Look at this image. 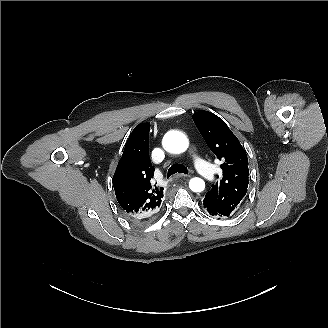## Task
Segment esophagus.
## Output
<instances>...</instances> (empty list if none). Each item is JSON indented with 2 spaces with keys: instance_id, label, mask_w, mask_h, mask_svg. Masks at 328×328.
<instances>
[{
  "instance_id": "obj_1",
  "label": "esophagus",
  "mask_w": 328,
  "mask_h": 328,
  "mask_svg": "<svg viewBox=\"0 0 328 328\" xmlns=\"http://www.w3.org/2000/svg\"><path fill=\"white\" fill-rule=\"evenodd\" d=\"M173 177H175V178H182V177H188V175L178 173V174H175Z\"/></svg>"
}]
</instances>
